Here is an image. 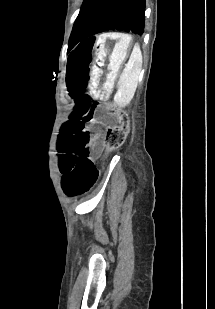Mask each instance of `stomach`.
Segmentation results:
<instances>
[{"mask_svg":"<svg viewBox=\"0 0 215 309\" xmlns=\"http://www.w3.org/2000/svg\"><path fill=\"white\" fill-rule=\"evenodd\" d=\"M134 47L133 37L124 32H106L95 42V61L90 72L92 95L105 99L112 91L124 60ZM137 48L135 46L133 50Z\"/></svg>","mask_w":215,"mask_h":309,"instance_id":"obj_1","label":"stomach"}]
</instances>
